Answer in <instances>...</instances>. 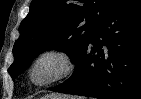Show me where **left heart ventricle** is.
<instances>
[{
    "mask_svg": "<svg viewBox=\"0 0 141 99\" xmlns=\"http://www.w3.org/2000/svg\"><path fill=\"white\" fill-rule=\"evenodd\" d=\"M64 65L62 61L55 57L43 59L35 68L33 78L36 82H45L63 71Z\"/></svg>",
    "mask_w": 141,
    "mask_h": 99,
    "instance_id": "1",
    "label": "left heart ventricle"
}]
</instances>
